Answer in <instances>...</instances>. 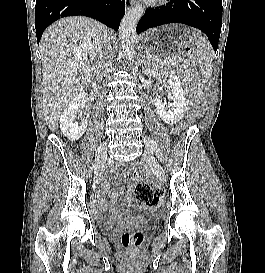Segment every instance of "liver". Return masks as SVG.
Here are the masks:
<instances>
[{"mask_svg": "<svg viewBox=\"0 0 265 273\" xmlns=\"http://www.w3.org/2000/svg\"><path fill=\"white\" fill-rule=\"evenodd\" d=\"M108 31L88 17L61 19L44 32L40 43L43 68V109L55 132L62 110L99 74Z\"/></svg>", "mask_w": 265, "mask_h": 273, "instance_id": "6515ba94", "label": "liver"}]
</instances>
